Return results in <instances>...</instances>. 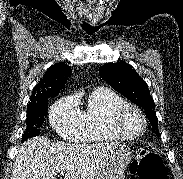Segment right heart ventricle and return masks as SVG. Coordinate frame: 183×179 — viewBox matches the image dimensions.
<instances>
[{"instance_id": "obj_1", "label": "right heart ventricle", "mask_w": 183, "mask_h": 179, "mask_svg": "<svg viewBox=\"0 0 183 179\" xmlns=\"http://www.w3.org/2000/svg\"><path fill=\"white\" fill-rule=\"evenodd\" d=\"M124 99L111 89L100 87L88 96L87 104L81 111L83 132L81 142H101L121 139L109 125L112 110L124 103Z\"/></svg>"}]
</instances>
